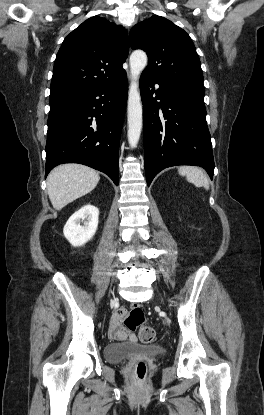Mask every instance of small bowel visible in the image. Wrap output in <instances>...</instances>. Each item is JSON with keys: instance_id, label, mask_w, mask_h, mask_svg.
<instances>
[{"instance_id": "obj_1", "label": "small bowel", "mask_w": 264, "mask_h": 415, "mask_svg": "<svg viewBox=\"0 0 264 415\" xmlns=\"http://www.w3.org/2000/svg\"><path fill=\"white\" fill-rule=\"evenodd\" d=\"M126 313L127 309L121 308L112 315L108 329V337L111 341L119 342L127 339L136 341V336L123 328L122 320Z\"/></svg>"}]
</instances>
